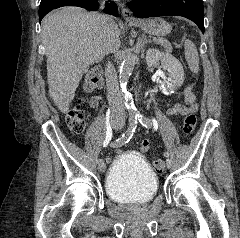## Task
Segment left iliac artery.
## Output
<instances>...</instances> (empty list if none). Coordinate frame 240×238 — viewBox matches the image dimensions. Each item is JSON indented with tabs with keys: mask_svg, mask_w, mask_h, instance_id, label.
<instances>
[{
	"mask_svg": "<svg viewBox=\"0 0 240 238\" xmlns=\"http://www.w3.org/2000/svg\"><path fill=\"white\" fill-rule=\"evenodd\" d=\"M138 120L145 128H150L151 127L150 119L146 118L144 115H138ZM164 156L169 157V153L164 152Z\"/></svg>",
	"mask_w": 240,
	"mask_h": 238,
	"instance_id": "44dca946",
	"label": "left iliac artery"
}]
</instances>
